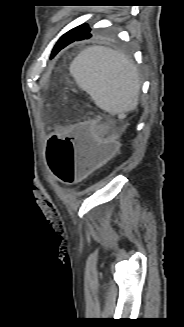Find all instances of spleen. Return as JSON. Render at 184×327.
Segmentation results:
<instances>
[{
  "label": "spleen",
  "mask_w": 184,
  "mask_h": 327,
  "mask_svg": "<svg viewBox=\"0 0 184 327\" xmlns=\"http://www.w3.org/2000/svg\"><path fill=\"white\" fill-rule=\"evenodd\" d=\"M70 73L102 110L118 114L138 105L140 80L133 61L116 50L91 46L70 64Z\"/></svg>",
  "instance_id": "1"
}]
</instances>
